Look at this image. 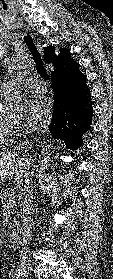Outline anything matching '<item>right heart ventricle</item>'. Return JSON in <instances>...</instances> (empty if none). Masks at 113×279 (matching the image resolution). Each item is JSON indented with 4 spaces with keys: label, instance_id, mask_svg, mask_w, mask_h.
Returning a JSON list of instances; mask_svg holds the SVG:
<instances>
[{
    "label": "right heart ventricle",
    "instance_id": "e07e8e85",
    "mask_svg": "<svg viewBox=\"0 0 113 279\" xmlns=\"http://www.w3.org/2000/svg\"><path fill=\"white\" fill-rule=\"evenodd\" d=\"M5 92L0 90V147L9 145L13 142L15 124L4 113Z\"/></svg>",
    "mask_w": 113,
    "mask_h": 279
}]
</instances>
